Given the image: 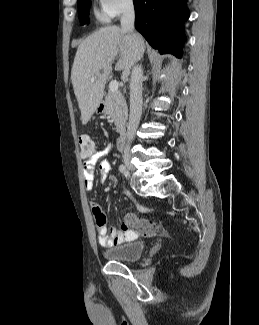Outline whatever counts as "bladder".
Listing matches in <instances>:
<instances>
[{
    "label": "bladder",
    "instance_id": "1",
    "mask_svg": "<svg viewBox=\"0 0 259 325\" xmlns=\"http://www.w3.org/2000/svg\"><path fill=\"white\" fill-rule=\"evenodd\" d=\"M145 250V242L135 240L132 242L115 245L103 251V256L114 262H135L139 260Z\"/></svg>",
    "mask_w": 259,
    "mask_h": 325
}]
</instances>
